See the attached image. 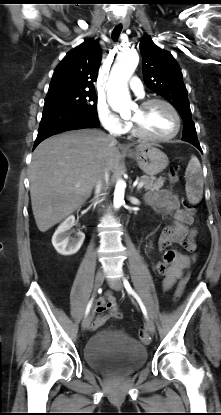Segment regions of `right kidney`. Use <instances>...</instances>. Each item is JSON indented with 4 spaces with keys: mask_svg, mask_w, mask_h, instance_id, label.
<instances>
[{
    "mask_svg": "<svg viewBox=\"0 0 221 415\" xmlns=\"http://www.w3.org/2000/svg\"><path fill=\"white\" fill-rule=\"evenodd\" d=\"M75 217L69 216L55 231L52 237V244L56 251L61 255H72L78 252L82 246L85 234L77 233V238H70L68 231L74 225Z\"/></svg>",
    "mask_w": 221,
    "mask_h": 415,
    "instance_id": "obj_1",
    "label": "right kidney"
}]
</instances>
